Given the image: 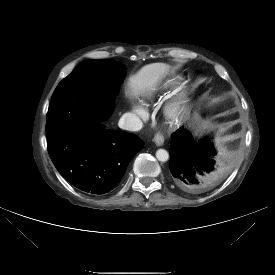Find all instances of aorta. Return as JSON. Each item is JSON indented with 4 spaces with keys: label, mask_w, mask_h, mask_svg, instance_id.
Segmentation results:
<instances>
[{
    "label": "aorta",
    "mask_w": 275,
    "mask_h": 275,
    "mask_svg": "<svg viewBox=\"0 0 275 275\" xmlns=\"http://www.w3.org/2000/svg\"><path fill=\"white\" fill-rule=\"evenodd\" d=\"M156 158L160 162H166L169 159V153L164 149H158L156 151Z\"/></svg>",
    "instance_id": "762f6f07"
}]
</instances>
